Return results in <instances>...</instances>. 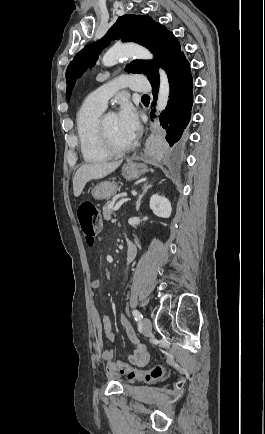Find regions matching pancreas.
Listing matches in <instances>:
<instances>
[{"label": "pancreas", "mask_w": 265, "mask_h": 434, "mask_svg": "<svg viewBox=\"0 0 265 434\" xmlns=\"http://www.w3.org/2000/svg\"><path fill=\"white\" fill-rule=\"evenodd\" d=\"M110 204L111 202H107V204H105L104 208H103V218L104 220H111L112 218V214L114 212L113 208H110Z\"/></svg>", "instance_id": "1"}]
</instances>
